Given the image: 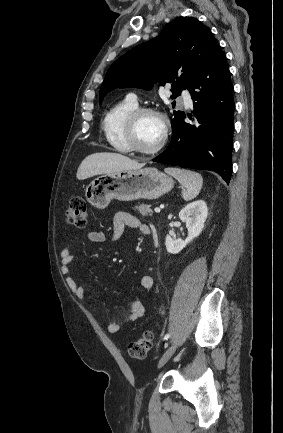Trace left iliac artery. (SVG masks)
<instances>
[{"label":"left iliac artery","instance_id":"44dca946","mask_svg":"<svg viewBox=\"0 0 283 433\" xmlns=\"http://www.w3.org/2000/svg\"><path fill=\"white\" fill-rule=\"evenodd\" d=\"M169 337H170V334H166L163 339L167 340Z\"/></svg>","mask_w":283,"mask_h":433}]
</instances>
